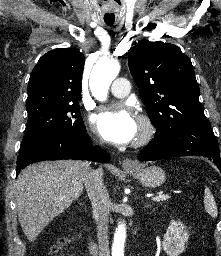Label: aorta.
Segmentation results:
<instances>
[{"label":"aorta","mask_w":221,"mask_h":256,"mask_svg":"<svg viewBox=\"0 0 221 256\" xmlns=\"http://www.w3.org/2000/svg\"><path fill=\"white\" fill-rule=\"evenodd\" d=\"M120 65L116 60H99L93 67L90 75V90L92 95L99 101L107 98L109 86L117 77ZM126 238V228L124 224H119L114 234L112 247L113 256H124L123 249Z\"/></svg>","instance_id":"obj_1"}]
</instances>
